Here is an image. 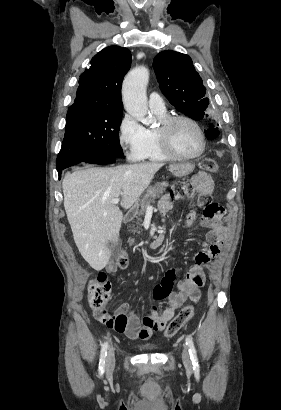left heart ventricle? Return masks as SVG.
Wrapping results in <instances>:
<instances>
[{
    "label": "left heart ventricle",
    "instance_id": "b2bd125f",
    "mask_svg": "<svg viewBox=\"0 0 281 410\" xmlns=\"http://www.w3.org/2000/svg\"><path fill=\"white\" fill-rule=\"evenodd\" d=\"M169 138L175 151L182 155H193L201 147L199 132L188 122H176L170 129Z\"/></svg>",
    "mask_w": 281,
    "mask_h": 410
}]
</instances>
